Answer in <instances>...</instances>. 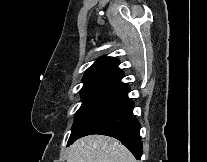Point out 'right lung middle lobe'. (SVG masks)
<instances>
[{
    "mask_svg": "<svg viewBox=\"0 0 207 162\" xmlns=\"http://www.w3.org/2000/svg\"><path fill=\"white\" fill-rule=\"evenodd\" d=\"M115 88L110 87H89L81 90L82 105L75 115L70 138L74 135L83 121L105 100Z\"/></svg>",
    "mask_w": 207,
    "mask_h": 162,
    "instance_id": "obj_1",
    "label": "right lung middle lobe"
}]
</instances>
